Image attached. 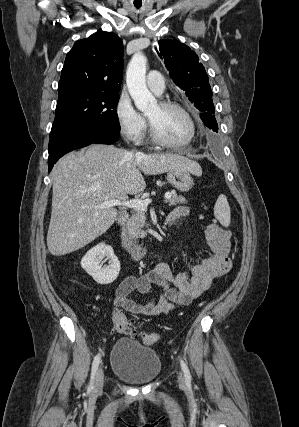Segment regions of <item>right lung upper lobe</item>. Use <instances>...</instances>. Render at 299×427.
I'll list each match as a JSON object with an SVG mask.
<instances>
[{
	"label": "right lung upper lobe",
	"instance_id": "right-lung-upper-lobe-1",
	"mask_svg": "<svg viewBox=\"0 0 299 427\" xmlns=\"http://www.w3.org/2000/svg\"><path fill=\"white\" fill-rule=\"evenodd\" d=\"M122 67L123 43L116 34L97 32L78 40L67 53L58 100L84 92H119Z\"/></svg>",
	"mask_w": 299,
	"mask_h": 427
}]
</instances>
